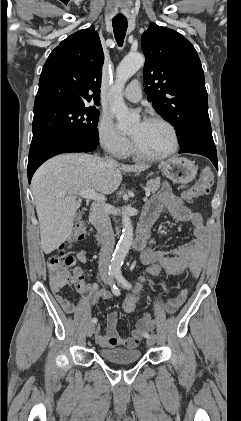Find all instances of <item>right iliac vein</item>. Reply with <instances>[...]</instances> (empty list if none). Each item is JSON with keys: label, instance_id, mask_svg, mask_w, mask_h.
<instances>
[{"label": "right iliac vein", "instance_id": "1", "mask_svg": "<svg viewBox=\"0 0 241 421\" xmlns=\"http://www.w3.org/2000/svg\"><path fill=\"white\" fill-rule=\"evenodd\" d=\"M94 332H95V325L89 324L88 327H87V330H86L87 336L91 337Z\"/></svg>", "mask_w": 241, "mask_h": 421}]
</instances>
